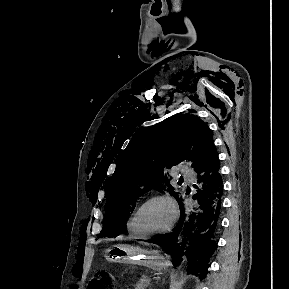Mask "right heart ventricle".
Returning a JSON list of instances; mask_svg holds the SVG:
<instances>
[{
	"label": "right heart ventricle",
	"mask_w": 289,
	"mask_h": 289,
	"mask_svg": "<svg viewBox=\"0 0 289 289\" xmlns=\"http://www.w3.org/2000/svg\"><path fill=\"white\" fill-rule=\"evenodd\" d=\"M127 230L129 232V234L134 237V238H142L143 236L141 234H139L134 226H133V214L130 215L128 221H127Z\"/></svg>",
	"instance_id": "right-heart-ventricle-1"
}]
</instances>
